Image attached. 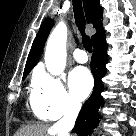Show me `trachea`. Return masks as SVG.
I'll list each match as a JSON object with an SVG mask.
<instances>
[{"mask_svg":"<svg viewBox=\"0 0 136 136\" xmlns=\"http://www.w3.org/2000/svg\"><path fill=\"white\" fill-rule=\"evenodd\" d=\"M73 10H74L76 25L82 34L83 46L89 53H91L92 43H91L90 37L85 34V17H84L83 8L81 5V0H73Z\"/></svg>","mask_w":136,"mask_h":136,"instance_id":"3493384b","label":"trachea"}]
</instances>
